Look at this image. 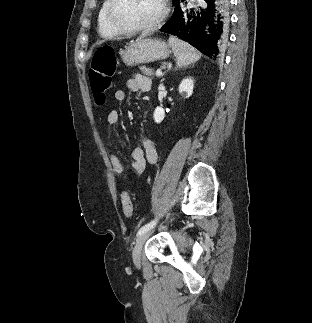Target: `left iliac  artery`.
Here are the masks:
<instances>
[{
  "mask_svg": "<svg viewBox=\"0 0 312 323\" xmlns=\"http://www.w3.org/2000/svg\"><path fill=\"white\" fill-rule=\"evenodd\" d=\"M156 224V220H153L151 222H149L148 224H145L144 226H142L138 233H137V236L144 233V232H147L148 230H150L154 225Z\"/></svg>",
  "mask_w": 312,
  "mask_h": 323,
  "instance_id": "1",
  "label": "left iliac artery"
}]
</instances>
